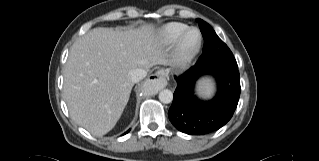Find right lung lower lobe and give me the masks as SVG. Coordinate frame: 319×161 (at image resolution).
<instances>
[{"instance_id": "1", "label": "right lung lower lobe", "mask_w": 319, "mask_h": 161, "mask_svg": "<svg viewBox=\"0 0 319 161\" xmlns=\"http://www.w3.org/2000/svg\"><path fill=\"white\" fill-rule=\"evenodd\" d=\"M129 131H130V129H129L126 133H128ZM126 133H125V134H126Z\"/></svg>"}]
</instances>
